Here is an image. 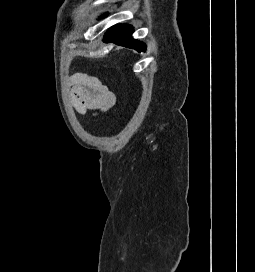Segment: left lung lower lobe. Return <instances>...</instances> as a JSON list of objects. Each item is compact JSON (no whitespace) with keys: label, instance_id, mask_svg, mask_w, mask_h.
Masks as SVG:
<instances>
[{"label":"left lung lower lobe","instance_id":"left-lung-lower-lobe-1","mask_svg":"<svg viewBox=\"0 0 255 272\" xmlns=\"http://www.w3.org/2000/svg\"><path fill=\"white\" fill-rule=\"evenodd\" d=\"M133 30L129 25H121L120 27H112L106 32L104 42L115 43L120 46L135 49L138 52L145 51L146 46L131 37Z\"/></svg>","mask_w":255,"mask_h":272}]
</instances>
